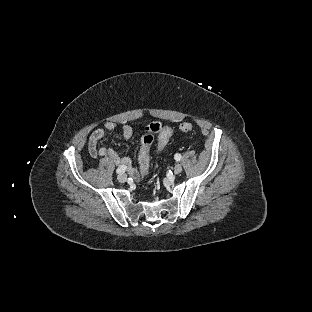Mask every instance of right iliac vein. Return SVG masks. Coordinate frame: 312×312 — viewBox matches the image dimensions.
<instances>
[{"label": "right iliac vein", "instance_id": "right-iliac-vein-1", "mask_svg": "<svg viewBox=\"0 0 312 312\" xmlns=\"http://www.w3.org/2000/svg\"><path fill=\"white\" fill-rule=\"evenodd\" d=\"M117 180L121 183L125 182L127 180V176L124 173H121L117 176Z\"/></svg>", "mask_w": 312, "mask_h": 312}]
</instances>
